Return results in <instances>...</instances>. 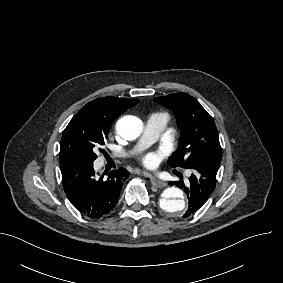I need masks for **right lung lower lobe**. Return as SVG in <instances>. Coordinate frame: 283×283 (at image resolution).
Masks as SVG:
<instances>
[{
  "instance_id": "98d812e1",
  "label": "right lung lower lobe",
  "mask_w": 283,
  "mask_h": 283,
  "mask_svg": "<svg viewBox=\"0 0 283 283\" xmlns=\"http://www.w3.org/2000/svg\"><path fill=\"white\" fill-rule=\"evenodd\" d=\"M66 196L85 217L98 219L116 206L129 172L124 168L109 172L108 178L95 177L93 162L72 161L60 165ZM104 175V174H103Z\"/></svg>"
}]
</instances>
